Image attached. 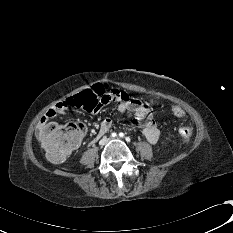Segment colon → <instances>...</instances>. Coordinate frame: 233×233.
Returning a JSON list of instances; mask_svg holds the SVG:
<instances>
[{"instance_id":"5ec220e1","label":"colon","mask_w":233,"mask_h":233,"mask_svg":"<svg viewBox=\"0 0 233 233\" xmlns=\"http://www.w3.org/2000/svg\"><path fill=\"white\" fill-rule=\"evenodd\" d=\"M109 87L113 90L119 89L116 85H109L104 82L95 84L88 90L67 98L65 105L68 108H79L92 112V107L96 102L102 100L106 95V89ZM171 112L180 120L186 117L185 109L179 105L172 106ZM84 132V127L77 122H70L64 125L51 124L39 131L38 137L47 157L51 161L59 163L67 159L74 151L75 147L80 143ZM192 133L193 130L189 126H184L179 130V135L183 139H189Z\"/></svg>"}]
</instances>
